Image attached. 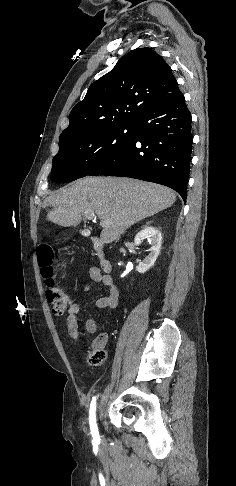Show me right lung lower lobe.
<instances>
[{"instance_id":"right-lung-lower-lobe-1","label":"right lung lower lobe","mask_w":236,"mask_h":486,"mask_svg":"<svg viewBox=\"0 0 236 486\" xmlns=\"http://www.w3.org/2000/svg\"><path fill=\"white\" fill-rule=\"evenodd\" d=\"M184 96L159 104L135 122L134 140L89 175L124 176L168 186L187 198L192 141Z\"/></svg>"}]
</instances>
